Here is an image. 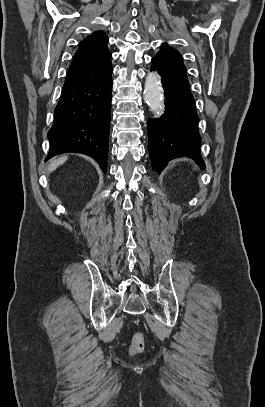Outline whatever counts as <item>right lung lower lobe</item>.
<instances>
[{
  "instance_id": "obj_1",
  "label": "right lung lower lobe",
  "mask_w": 265,
  "mask_h": 407,
  "mask_svg": "<svg viewBox=\"0 0 265 407\" xmlns=\"http://www.w3.org/2000/svg\"><path fill=\"white\" fill-rule=\"evenodd\" d=\"M111 53L68 73L48 132L47 159L65 152L94 158L106 173L112 90Z\"/></svg>"
}]
</instances>
